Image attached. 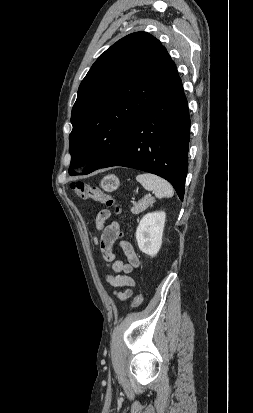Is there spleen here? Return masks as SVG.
Here are the masks:
<instances>
[{
  "mask_svg": "<svg viewBox=\"0 0 253 413\" xmlns=\"http://www.w3.org/2000/svg\"><path fill=\"white\" fill-rule=\"evenodd\" d=\"M136 180L148 191H153L157 198H171L173 188L165 179L150 173L139 174Z\"/></svg>",
  "mask_w": 253,
  "mask_h": 413,
  "instance_id": "1",
  "label": "spleen"
}]
</instances>
